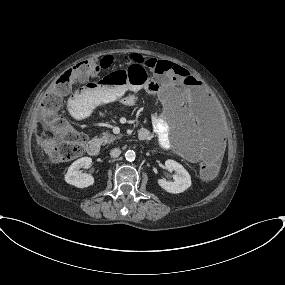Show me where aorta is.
I'll return each mask as SVG.
<instances>
[{"label": "aorta", "instance_id": "1", "mask_svg": "<svg viewBox=\"0 0 285 285\" xmlns=\"http://www.w3.org/2000/svg\"><path fill=\"white\" fill-rule=\"evenodd\" d=\"M125 158H126L127 161H130V162L134 161L135 158H136V154H135V152L133 150H128L125 153Z\"/></svg>", "mask_w": 285, "mask_h": 285}]
</instances>
